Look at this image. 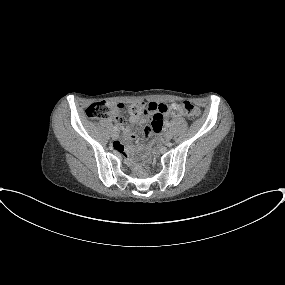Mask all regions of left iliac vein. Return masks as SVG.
<instances>
[{
	"instance_id": "4c4485c4",
	"label": "left iliac vein",
	"mask_w": 285,
	"mask_h": 285,
	"mask_svg": "<svg viewBox=\"0 0 285 285\" xmlns=\"http://www.w3.org/2000/svg\"><path fill=\"white\" fill-rule=\"evenodd\" d=\"M164 137H165V139H166L167 141H169V140L172 139L173 135H172V133H171L170 131H167V132L165 133Z\"/></svg>"
}]
</instances>
